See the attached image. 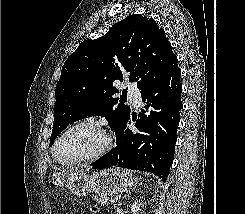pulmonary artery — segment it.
<instances>
[{
    "label": "pulmonary artery",
    "mask_w": 245,
    "mask_h": 214,
    "mask_svg": "<svg viewBox=\"0 0 245 214\" xmlns=\"http://www.w3.org/2000/svg\"><path fill=\"white\" fill-rule=\"evenodd\" d=\"M128 98L133 103L134 106L138 107L142 103L140 92L135 88H130L128 92Z\"/></svg>",
    "instance_id": "e3ab8cb5"
}]
</instances>
